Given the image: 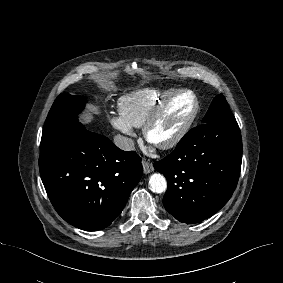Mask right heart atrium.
Segmentation results:
<instances>
[{
	"label": "right heart atrium",
	"instance_id": "obj_1",
	"mask_svg": "<svg viewBox=\"0 0 283 283\" xmlns=\"http://www.w3.org/2000/svg\"><path fill=\"white\" fill-rule=\"evenodd\" d=\"M110 122L113 127L120 132L128 135L134 136L133 127L124 119L121 114H113L110 116Z\"/></svg>",
	"mask_w": 283,
	"mask_h": 283
}]
</instances>
